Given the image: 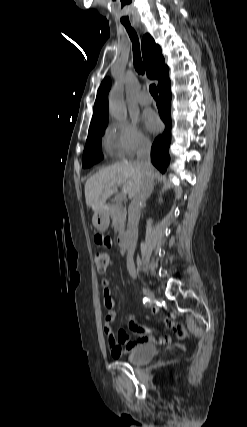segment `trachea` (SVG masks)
Masks as SVG:
<instances>
[{"instance_id":"obj_1","label":"trachea","mask_w":247,"mask_h":427,"mask_svg":"<svg viewBox=\"0 0 247 427\" xmlns=\"http://www.w3.org/2000/svg\"><path fill=\"white\" fill-rule=\"evenodd\" d=\"M125 28L129 34L130 38H131L132 43H133V59H134L135 69L139 74H144V68H143V63H142L141 54H140V46H139L138 36L131 26L125 25ZM149 91L154 98H158V92H157V88L155 85H150Z\"/></svg>"}]
</instances>
